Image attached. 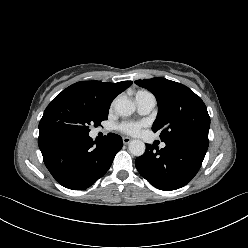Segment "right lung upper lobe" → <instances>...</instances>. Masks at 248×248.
<instances>
[{"mask_svg": "<svg viewBox=\"0 0 248 248\" xmlns=\"http://www.w3.org/2000/svg\"><path fill=\"white\" fill-rule=\"evenodd\" d=\"M131 84L132 81L118 83L80 81L67 87L57 98H67L90 108L99 115H108L113 99Z\"/></svg>", "mask_w": 248, "mask_h": 248, "instance_id": "right-lung-upper-lobe-1", "label": "right lung upper lobe"}]
</instances>
